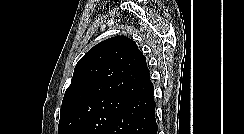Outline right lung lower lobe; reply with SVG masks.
<instances>
[{"instance_id": "1", "label": "right lung lower lobe", "mask_w": 244, "mask_h": 134, "mask_svg": "<svg viewBox=\"0 0 244 134\" xmlns=\"http://www.w3.org/2000/svg\"><path fill=\"white\" fill-rule=\"evenodd\" d=\"M153 90L134 98L102 134H157Z\"/></svg>"}]
</instances>
